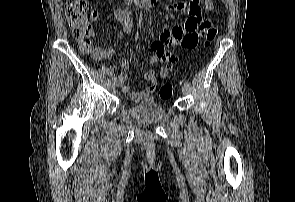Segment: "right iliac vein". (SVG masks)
<instances>
[{
  "label": "right iliac vein",
  "mask_w": 295,
  "mask_h": 202,
  "mask_svg": "<svg viewBox=\"0 0 295 202\" xmlns=\"http://www.w3.org/2000/svg\"><path fill=\"white\" fill-rule=\"evenodd\" d=\"M107 86L111 89H114L115 88V84L113 83H107Z\"/></svg>",
  "instance_id": "right-iliac-vein-1"
}]
</instances>
